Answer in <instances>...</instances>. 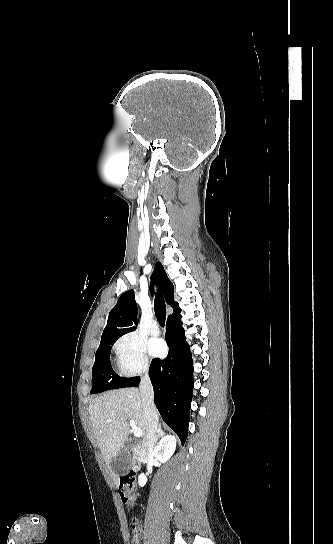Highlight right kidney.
<instances>
[{"instance_id":"obj_1","label":"right kidney","mask_w":333,"mask_h":544,"mask_svg":"<svg viewBox=\"0 0 333 544\" xmlns=\"http://www.w3.org/2000/svg\"><path fill=\"white\" fill-rule=\"evenodd\" d=\"M176 449V439L172 435L164 436L159 444L153 450L154 457L161 463H166L174 454ZM147 482V477L144 473L139 475L138 483L143 487Z\"/></svg>"}]
</instances>
